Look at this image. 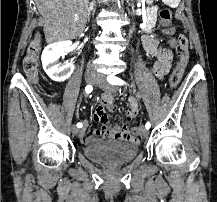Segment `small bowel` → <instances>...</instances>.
I'll return each instance as SVG.
<instances>
[{"instance_id":"small-bowel-1","label":"small bowel","mask_w":217,"mask_h":202,"mask_svg":"<svg viewBox=\"0 0 217 202\" xmlns=\"http://www.w3.org/2000/svg\"><path fill=\"white\" fill-rule=\"evenodd\" d=\"M142 43L145 51L151 57L158 58L154 64L152 72L158 76H163L168 72L170 61L172 59V52L168 48L159 46L158 40L152 35H144ZM170 44L172 45L171 41ZM114 94L111 91H106L100 96L98 103L94 106L92 111V120L100 124V128L96 129L93 134L85 138L84 132L79 133V139L91 145L98 140L112 139L117 141H125L132 144L139 143V136L142 131H131L127 124H122L115 127H107L108 117L106 110H114ZM139 113V104L134 97L129 98L128 108L126 110V119L131 121L137 117Z\"/></svg>"}]
</instances>
